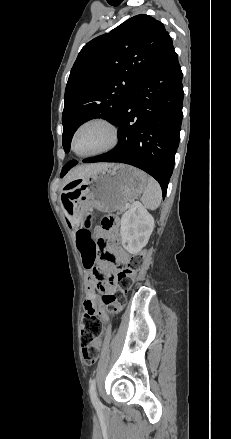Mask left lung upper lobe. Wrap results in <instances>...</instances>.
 Masks as SVG:
<instances>
[{
    "instance_id": "obj_1",
    "label": "left lung upper lobe",
    "mask_w": 231,
    "mask_h": 439,
    "mask_svg": "<svg viewBox=\"0 0 231 439\" xmlns=\"http://www.w3.org/2000/svg\"><path fill=\"white\" fill-rule=\"evenodd\" d=\"M172 47L164 25L144 14L88 42L78 54L65 89V152H69L73 134L84 122L104 118L115 123L136 84ZM70 162L63 167L61 177Z\"/></svg>"
}]
</instances>
